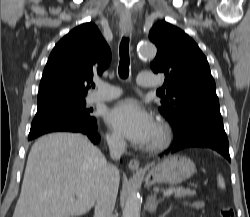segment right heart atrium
I'll use <instances>...</instances> for the list:
<instances>
[{
	"mask_svg": "<svg viewBox=\"0 0 250 217\" xmlns=\"http://www.w3.org/2000/svg\"><path fill=\"white\" fill-rule=\"evenodd\" d=\"M108 142L116 147H120L124 144L122 136L117 132H109L107 135Z\"/></svg>",
	"mask_w": 250,
	"mask_h": 217,
	"instance_id": "obj_1",
	"label": "right heart atrium"
}]
</instances>
